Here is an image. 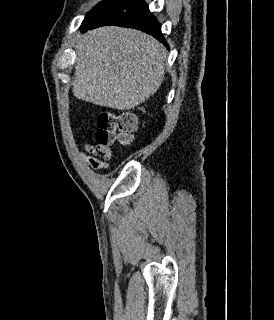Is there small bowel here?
<instances>
[{"label":"small bowel","mask_w":274,"mask_h":320,"mask_svg":"<svg viewBox=\"0 0 274 320\" xmlns=\"http://www.w3.org/2000/svg\"><path fill=\"white\" fill-rule=\"evenodd\" d=\"M83 148L84 151L80 153V158L85 163L95 169H107L109 167L108 163L112 162V157L109 154L112 152L111 146L84 144ZM94 153L96 154L94 155Z\"/></svg>","instance_id":"1"}]
</instances>
